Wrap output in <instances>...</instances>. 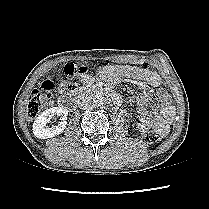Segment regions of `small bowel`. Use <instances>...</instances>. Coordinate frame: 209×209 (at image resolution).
<instances>
[{"label":"small bowel","mask_w":209,"mask_h":209,"mask_svg":"<svg viewBox=\"0 0 209 209\" xmlns=\"http://www.w3.org/2000/svg\"><path fill=\"white\" fill-rule=\"evenodd\" d=\"M97 78L110 81H131L142 90L139 95L133 97L137 104V113L151 123L154 131L156 129L168 130L169 122L175 115V107L171 104L170 96L161 88L160 75L150 70L146 65H129V64H105L99 67ZM83 85H91L95 77L84 70L80 74ZM65 95L60 97L61 101ZM155 97L159 102L160 109H148V103ZM128 116V113H125Z\"/></svg>","instance_id":"obj_1"}]
</instances>
